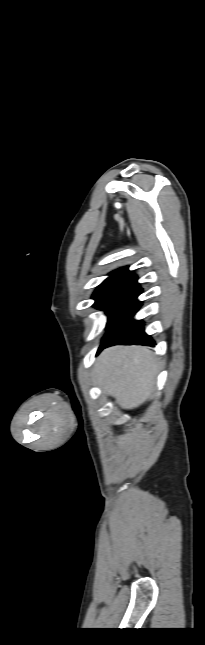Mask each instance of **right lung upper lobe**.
Here are the masks:
<instances>
[{"label":"right lung upper lobe","mask_w":205,"mask_h":645,"mask_svg":"<svg viewBox=\"0 0 205 645\" xmlns=\"http://www.w3.org/2000/svg\"><path fill=\"white\" fill-rule=\"evenodd\" d=\"M124 291H142L137 283V276L125 268L110 273L108 277L94 292L93 298L99 302L113 294Z\"/></svg>","instance_id":"obj_1"}]
</instances>
